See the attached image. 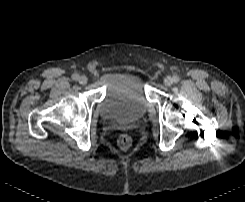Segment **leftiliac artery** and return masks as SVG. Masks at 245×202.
Returning <instances> with one entry per match:
<instances>
[{"label": "left iliac artery", "mask_w": 245, "mask_h": 202, "mask_svg": "<svg viewBox=\"0 0 245 202\" xmlns=\"http://www.w3.org/2000/svg\"><path fill=\"white\" fill-rule=\"evenodd\" d=\"M179 80H180L179 76H177V75L173 76V82L174 83H178Z\"/></svg>", "instance_id": "obj_1"}]
</instances>
